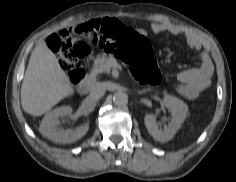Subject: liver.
Returning a JSON list of instances; mask_svg holds the SVG:
<instances>
[{
    "label": "liver",
    "instance_id": "liver-1",
    "mask_svg": "<svg viewBox=\"0 0 236 182\" xmlns=\"http://www.w3.org/2000/svg\"><path fill=\"white\" fill-rule=\"evenodd\" d=\"M73 94L74 88L56 55L43 40H39L21 86L23 110L32 116H41Z\"/></svg>",
    "mask_w": 236,
    "mask_h": 182
}]
</instances>
